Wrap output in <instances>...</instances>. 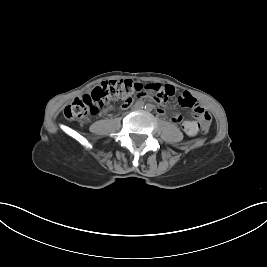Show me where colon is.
Listing matches in <instances>:
<instances>
[{
	"mask_svg": "<svg viewBox=\"0 0 267 267\" xmlns=\"http://www.w3.org/2000/svg\"><path fill=\"white\" fill-rule=\"evenodd\" d=\"M174 92L169 86L161 84L139 85L128 80H114L97 87L91 94L77 96L65 107L64 113L68 119L85 121L90 115L97 114L102 108L122 102V107H128L135 95L156 98L165 103L173 96ZM183 107L191 108L194 124L202 133L208 132L211 124V115L197 101L188 94L179 97ZM174 120H179V115H174Z\"/></svg>",
	"mask_w": 267,
	"mask_h": 267,
	"instance_id": "colon-1",
	"label": "colon"
}]
</instances>
